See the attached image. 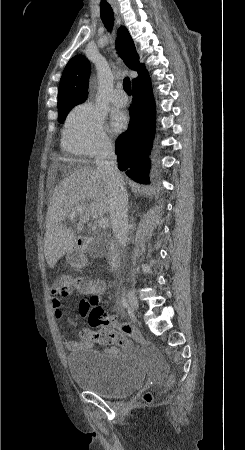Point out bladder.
<instances>
[{
  "instance_id": "31cf9c89",
  "label": "bladder",
  "mask_w": 245,
  "mask_h": 450,
  "mask_svg": "<svg viewBox=\"0 0 245 450\" xmlns=\"http://www.w3.org/2000/svg\"><path fill=\"white\" fill-rule=\"evenodd\" d=\"M74 383L102 398H123L145 383L144 367L134 354H70L65 359Z\"/></svg>"
}]
</instances>
